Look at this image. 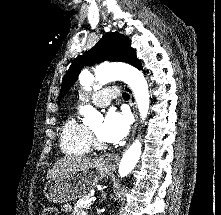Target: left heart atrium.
I'll list each match as a JSON object with an SVG mask.
<instances>
[{
	"mask_svg": "<svg viewBox=\"0 0 221 215\" xmlns=\"http://www.w3.org/2000/svg\"><path fill=\"white\" fill-rule=\"evenodd\" d=\"M129 130L127 115L116 110H110L100 128V138L108 143L118 142L123 139Z\"/></svg>",
	"mask_w": 221,
	"mask_h": 215,
	"instance_id": "39dd6f15",
	"label": "left heart atrium"
}]
</instances>
